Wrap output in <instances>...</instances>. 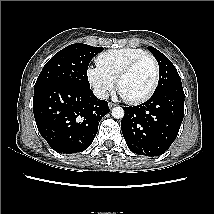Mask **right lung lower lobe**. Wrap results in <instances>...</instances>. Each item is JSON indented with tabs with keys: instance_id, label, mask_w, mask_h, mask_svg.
I'll use <instances>...</instances> for the list:
<instances>
[{
	"instance_id": "98d812e1",
	"label": "right lung lower lobe",
	"mask_w": 214,
	"mask_h": 214,
	"mask_svg": "<svg viewBox=\"0 0 214 214\" xmlns=\"http://www.w3.org/2000/svg\"><path fill=\"white\" fill-rule=\"evenodd\" d=\"M110 111L90 88L50 82L34 89L33 113L41 136L60 153L82 152L93 142Z\"/></svg>"
}]
</instances>
